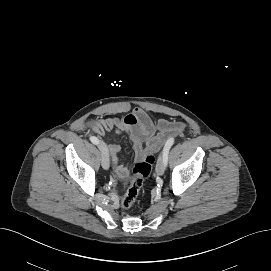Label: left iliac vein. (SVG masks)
<instances>
[{
	"label": "left iliac vein",
	"mask_w": 271,
	"mask_h": 271,
	"mask_svg": "<svg viewBox=\"0 0 271 271\" xmlns=\"http://www.w3.org/2000/svg\"><path fill=\"white\" fill-rule=\"evenodd\" d=\"M165 172V161L163 157V153L159 155L157 164H156V173L158 175H163Z\"/></svg>",
	"instance_id": "1"
}]
</instances>
